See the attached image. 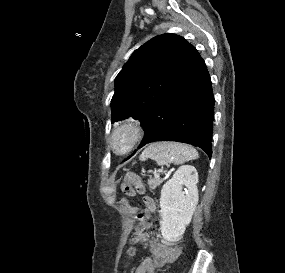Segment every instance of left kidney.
I'll list each match as a JSON object with an SVG mask.
<instances>
[{"mask_svg":"<svg viewBox=\"0 0 285 273\" xmlns=\"http://www.w3.org/2000/svg\"><path fill=\"white\" fill-rule=\"evenodd\" d=\"M197 183L198 173L195 167L184 165L164 184L160 197V225L166 242L178 241L191 222L198 203Z\"/></svg>","mask_w":285,"mask_h":273,"instance_id":"left-kidney-1","label":"left kidney"}]
</instances>
